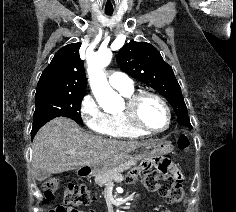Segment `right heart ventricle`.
I'll return each instance as SVG.
<instances>
[{
	"label": "right heart ventricle",
	"mask_w": 236,
	"mask_h": 212,
	"mask_svg": "<svg viewBox=\"0 0 236 212\" xmlns=\"http://www.w3.org/2000/svg\"><path fill=\"white\" fill-rule=\"evenodd\" d=\"M117 90L125 98H128L136 91L133 84L129 87ZM104 134L109 137L119 139L139 138L146 135L130 125L123 111L117 114L107 115V123Z\"/></svg>",
	"instance_id": "e07e8e85"
}]
</instances>
